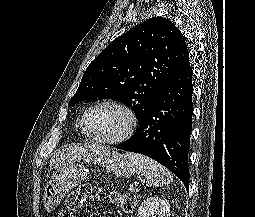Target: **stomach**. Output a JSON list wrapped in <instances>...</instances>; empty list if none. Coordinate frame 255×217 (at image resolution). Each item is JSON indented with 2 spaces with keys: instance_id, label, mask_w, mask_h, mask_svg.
Here are the masks:
<instances>
[{
  "instance_id": "stomach-1",
  "label": "stomach",
  "mask_w": 255,
  "mask_h": 217,
  "mask_svg": "<svg viewBox=\"0 0 255 217\" xmlns=\"http://www.w3.org/2000/svg\"><path fill=\"white\" fill-rule=\"evenodd\" d=\"M108 171L117 177H130L134 174V167L126 157L116 151L100 158ZM88 176V170L79 164H69L57 170L46 184L43 193L45 210L51 212L57 208L66 193L77 186Z\"/></svg>"
}]
</instances>
